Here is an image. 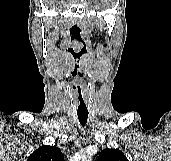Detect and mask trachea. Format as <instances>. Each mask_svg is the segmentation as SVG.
I'll list each match as a JSON object with an SVG mask.
<instances>
[{
    "label": "trachea",
    "instance_id": "obj_1",
    "mask_svg": "<svg viewBox=\"0 0 171 161\" xmlns=\"http://www.w3.org/2000/svg\"><path fill=\"white\" fill-rule=\"evenodd\" d=\"M79 122L82 126H85L88 119V112H77Z\"/></svg>",
    "mask_w": 171,
    "mask_h": 161
}]
</instances>
